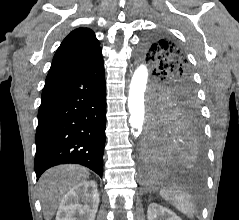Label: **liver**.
<instances>
[{"label": "liver", "mask_w": 239, "mask_h": 220, "mask_svg": "<svg viewBox=\"0 0 239 220\" xmlns=\"http://www.w3.org/2000/svg\"><path fill=\"white\" fill-rule=\"evenodd\" d=\"M88 177L89 171L77 165H60L47 170L38 183L45 220H51L65 194Z\"/></svg>", "instance_id": "1"}]
</instances>
